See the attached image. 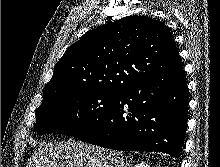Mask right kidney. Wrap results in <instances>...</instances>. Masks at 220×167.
I'll use <instances>...</instances> for the list:
<instances>
[{"label": "right kidney", "instance_id": "obj_1", "mask_svg": "<svg viewBox=\"0 0 220 167\" xmlns=\"http://www.w3.org/2000/svg\"><path fill=\"white\" fill-rule=\"evenodd\" d=\"M134 167H150V165L147 164L146 162H141V163L135 165Z\"/></svg>", "mask_w": 220, "mask_h": 167}]
</instances>
